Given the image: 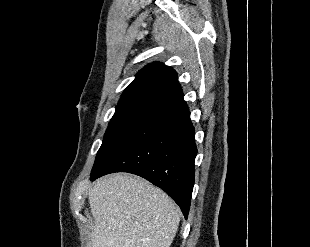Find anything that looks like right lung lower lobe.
Listing matches in <instances>:
<instances>
[{"label":"right lung lower lobe","instance_id":"right-lung-lower-lobe-1","mask_svg":"<svg viewBox=\"0 0 310 247\" xmlns=\"http://www.w3.org/2000/svg\"><path fill=\"white\" fill-rule=\"evenodd\" d=\"M195 130L183 100L148 120L100 168L91 180L113 172H129L163 189L188 216L197 154Z\"/></svg>","mask_w":310,"mask_h":247}]
</instances>
